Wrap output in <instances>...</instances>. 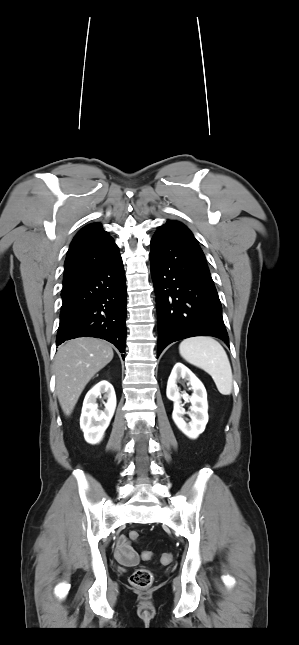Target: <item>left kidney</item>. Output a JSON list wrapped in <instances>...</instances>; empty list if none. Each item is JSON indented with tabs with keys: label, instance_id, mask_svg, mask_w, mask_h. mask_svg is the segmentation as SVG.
Masks as SVG:
<instances>
[{
	"label": "left kidney",
	"instance_id": "left-kidney-1",
	"mask_svg": "<svg viewBox=\"0 0 299 645\" xmlns=\"http://www.w3.org/2000/svg\"><path fill=\"white\" fill-rule=\"evenodd\" d=\"M180 378L187 380L191 385L193 390L191 396L179 393L177 381ZM166 395L169 400L174 402L172 418L177 427L187 437L196 439L205 430L208 422L207 392L202 382L184 364L178 362L174 365L169 376ZM181 398L192 404V412L188 413L191 421L188 423L184 419L186 412L182 407Z\"/></svg>",
	"mask_w": 299,
	"mask_h": 645
}]
</instances>
